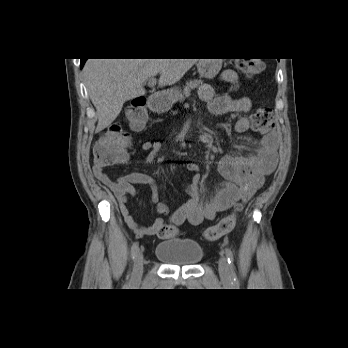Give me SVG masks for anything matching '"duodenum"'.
Instances as JSON below:
<instances>
[{
	"mask_svg": "<svg viewBox=\"0 0 348 348\" xmlns=\"http://www.w3.org/2000/svg\"><path fill=\"white\" fill-rule=\"evenodd\" d=\"M161 98L157 95L150 96L149 105L154 111H158Z\"/></svg>",
	"mask_w": 348,
	"mask_h": 348,
	"instance_id": "obj_1",
	"label": "duodenum"
}]
</instances>
